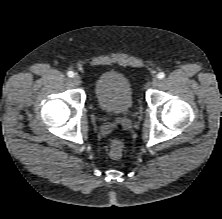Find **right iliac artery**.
I'll return each instance as SVG.
<instances>
[{"label":"right iliac artery","mask_w":222,"mask_h":219,"mask_svg":"<svg viewBox=\"0 0 222 219\" xmlns=\"http://www.w3.org/2000/svg\"><path fill=\"white\" fill-rule=\"evenodd\" d=\"M67 75H68V77L72 78V77H74L75 74L73 71H68Z\"/></svg>","instance_id":"82829eb1"}]
</instances>
